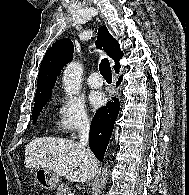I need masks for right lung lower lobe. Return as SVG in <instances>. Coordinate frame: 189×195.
Here are the masks:
<instances>
[{"instance_id":"right-lung-lower-lobe-1","label":"right lung lower lobe","mask_w":189,"mask_h":195,"mask_svg":"<svg viewBox=\"0 0 189 195\" xmlns=\"http://www.w3.org/2000/svg\"><path fill=\"white\" fill-rule=\"evenodd\" d=\"M121 81L122 76L119 77L116 86H118ZM119 109V100L117 98H113L105 107L100 108L96 112L92 120L89 133V145L94 155L100 161L104 158V153L112 135Z\"/></svg>"}]
</instances>
